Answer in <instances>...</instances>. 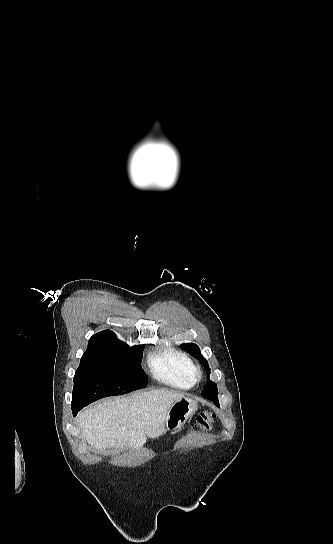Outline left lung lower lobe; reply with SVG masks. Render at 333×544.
<instances>
[{
    "instance_id": "left-lung-lower-lobe-1",
    "label": "left lung lower lobe",
    "mask_w": 333,
    "mask_h": 544,
    "mask_svg": "<svg viewBox=\"0 0 333 544\" xmlns=\"http://www.w3.org/2000/svg\"><path fill=\"white\" fill-rule=\"evenodd\" d=\"M202 397L211 400L212 402H214V404H215L216 406L219 407L218 393H217V392H216V393H208V394H204Z\"/></svg>"
}]
</instances>
